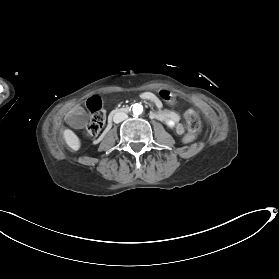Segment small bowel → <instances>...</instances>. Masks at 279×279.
Instances as JSON below:
<instances>
[{
    "mask_svg": "<svg viewBox=\"0 0 279 279\" xmlns=\"http://www.w3.org/2000/svg\"><path fill=\"white\" fill-rule=\"evenodd\" d=\"M160 96L168 103H173L175 100L174 95L166 89L160 91ZM143 97L152 102L157 108V111L151 113L153 118L173 124L177 133H183V125L178 121V115L171 110L163 109L162 101L158 96L151 92H146Z\"/></svg>",
    "mask_w": 279,
    "mask_h": 279,
    "instance_id": "c3829d8e",
    "label": "small bowel"
}]
</instances>
